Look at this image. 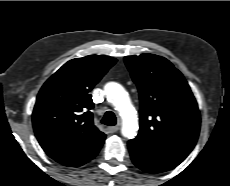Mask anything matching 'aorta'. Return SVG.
I'll use <instances>...</instances> for the list:
<instances>
[{"label":"aorta","instance_id":"aorta-1","mask_svg":"<svg viewBox=\"0 0 230 186\" xmlns=\"http://www.w3.org/2000/svg\"><path fill=\"white\" fill-rule=\"evenodd\" d=\"M107 100L112 103L122 118L121 133L124 137L132 139L139 129L136 111L131 104L126 90L116 82H109L104 87Z\"/></svg>","mask_w":230,"mask_h":186}]
</instances>
